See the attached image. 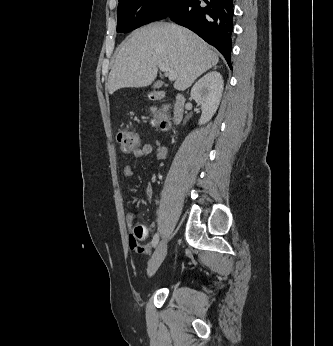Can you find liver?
I'll return each instance as SVG.
<instances>
[{
  "label": "liver",
  "mask_w": 333,
  "mask_h": 346,
  "mask_svg": "<svg viewBox=\"0 0 333 346\" xmlns=\"http://www.w3.org/2000/svg\"><path fill=\"white\" fill-rule=\"evenodd\" d=\"M219 61L218 54L192 31L170 23H154L133 32L118 48L106 88L144 87L156 78L158 65L177 73L174 88L183 91Z\"/></svg>",
  "instance_id": "6515ba94"
}]
</instances>
